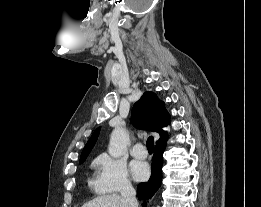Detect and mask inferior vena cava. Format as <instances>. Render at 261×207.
<instances>
[{
	"label": "inferior vena cava",
	"mask_w": 261,
	"mask_h": 207,
	"mask_svg": "<svg viewBox=\"0 0 261 207\" xmlns=\"http://www.w3.org/2000/svg\"><path fill=\"white\" fill-rule=\"evenodd\" d=\"M121 197L128 203L129 207H138L136 191L130 182H124L121 189Z\"/></svg>",
	"instance_id": "inferior-vena-cava-1"
}]
</instances>
